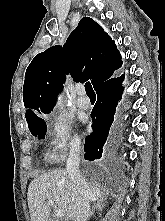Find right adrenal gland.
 I'll return each mask as SVG.
<instances>
[{
	"mask_svg": "<svg viewBox=\"0 0 165 221\" xmlns=\"http://www.w3.org/2000/svg\"><path fill=\"white\" fill-rule=\"evenodd\" d=\"M106 198L105 197H100L99 199L95 200L94 204H93V207H92V210L89 214V218H91L94 214V212L96 210L102 212L103 208L105 207L106 205Z\"/></svg>",
	"mask_w": 165,
	"mask_h": 221,
	"instance_id": "2a0ac1e0",
	"label": "right adrenal gland"
}]
</instances>
